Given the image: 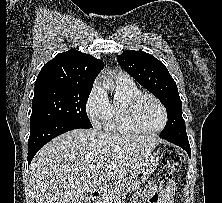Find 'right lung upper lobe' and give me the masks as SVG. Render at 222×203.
Here are the masks:
<instances>
[{
  "label": "right lung upper lobe",
  "instance_id": "obj_1",
  "mask_svg": "<svg viewBox=\"0 0 222 203\" xmlns=\"http://www.w3.org/2000/svg\"><path fill=\"white\" fill-rule=\"evenodd\" d=\"M104 63L89 54L71 49L46 63L35 81V91L54 86L92 87Z\"/></svg>",
  "mask_w": 222,
  "mask_h": 203
}]
</instances>
